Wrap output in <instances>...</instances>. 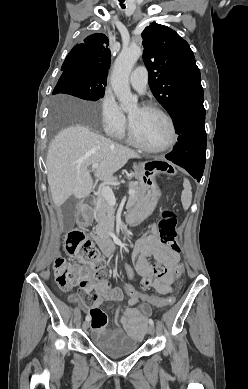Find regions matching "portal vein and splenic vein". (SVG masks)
Masks as SVG:
<instances>
[{
	"instance_id": "portal-vein-and-splenic-vein-1",
	"label": "portal vein and splenic vein",
	"mask_w": 248,
	"mask_h": 389,
	"mask_svg": "<svg viewBox=\"0 0 248 389\" xmlns=\"http://www.w3.org/2000/svg\"><path fill=\"white\" fill-rule=\"evenodd\" d=\"M99 167V163L92 164V169L95 170ZM100 194L107 200L112 206L116 204V199L112 189L109 186H103L100 190ZM130 195L134 194V191H129Z\"/></svg>"
}]
</instances>
